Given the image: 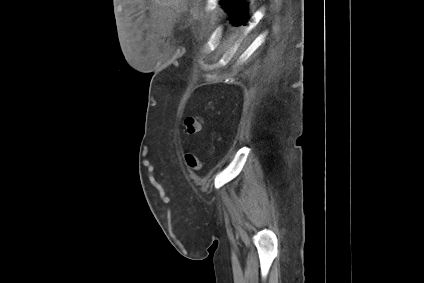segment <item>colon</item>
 Wrapping results in <instances>:
<instances>
[{
    "mask_svg": "<svg viewBox=\"0 0 424 283\" xmlns=\"http://www.w3.org/2000/svg\"><path fill=\"white\" fill-rule=\"evenodd\" d=\"M202 124L203 118L200 116L187 117L183 122L184 132L187 135L196 134L201 130ZM185 161L187 166L192 170H200L203 166V162L190 153L185 155Z\"/></svg>",
    "mask_w": 424,
    "mask_h": 283,
    "instance_id": "obj_1",
    "label": "colon"
}]
</instances>
